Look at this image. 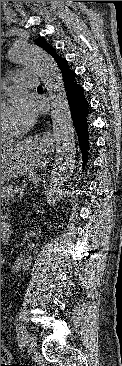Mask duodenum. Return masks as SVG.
Listing matches in <instances>:
<instances>
[{
    "label": "duodenum",
    "instance_id": "duodenum-1",
    "mask_svg": "<svg viewBox=\"0 0 122 366\" xmlns=\"http://www.w3.org/2000/svg\"><path fill=\"white\" fill-rule=\"evenodd\" d=\"M1 239L6 240L7 238L5 235L1 234Z\"/></svg>",
    "mask_w": 122,
    "mask_h": 366
}]
</instances>
